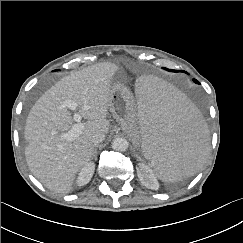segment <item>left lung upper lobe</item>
<instances>
[{"mask_svg": "<svg viewBox=\"0 0 243 243\" xmlns=\"http://www.w3.org/2000/svg\"><path fill=\"white\" fill-rule=\"evenodd\" d=\"M166 70H168V71H174V70H169V69H166ZM194 82H195V83H198V81L195 80V79H194Z\"/></svg>", "mask_w": 243, "mask_h": 243, "instance_id": "obj_1", "label": "left lung upper lobe"}]
</instances>
